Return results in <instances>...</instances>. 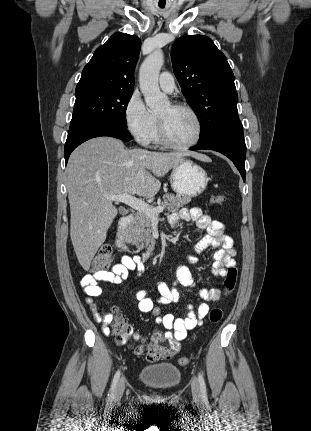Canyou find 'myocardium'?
Wrapping results in <instances>:
<instances>
[{"label": "myocardium", "instance_id": "f54148a6", "mask_svg": "<svg viewBox=\"0 0 311 431\" xmlns=\"http://www.w3.org/2000/svg\"><path fill=\"white\" fill-rule=\"evenodd\" d=\"M171 106L176 110H186V111L190 112L195 117L197 124H198L197 136L190 143H187V144L176 143L169 138L164 121L157 116V130H158V136L157 137H158V140L163 145L170 147V148H173V149H178V150H185V149H189V148L196 146L200 142V140L202 139L203 134H204V122H203L201 115L199 114V112L195 108H193L192 106L185 104V103H176V104H172Z\"/></svg>", "mask_w": 311, "mask_h": 431}]
</instances>
